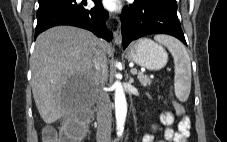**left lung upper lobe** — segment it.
Listing matches in <instances>:
<instances>
[{
	"instance_id": "left-lung-upper-lobe-1",
	"label": "left lung upper lobe",
	"mask_w": 227,
	"mask_h": 142,
	"mask_svg": "<svg viewBox=\"0 0 227 142\" xmlns=\"http://www.w3.org/2000/svg\"><path fill=\"white\" fill-rule=\"evenodd\" d=\"M141 1H143V0H135V2H141ZM168 1L176 3V0H168Z\"/></svg>"
}]
</instances>
